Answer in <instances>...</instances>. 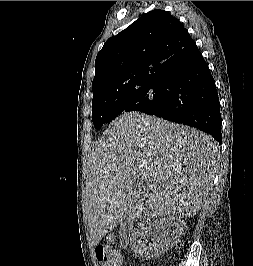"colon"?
<instances>
[{
	"label": "colon",
	"instance_id": "1",
	"mask_svg": "<svg viewBox=\"0 0 253 266\" xmlns=\"http://www.w3.org/2000/svg\"><path fill=\"white\" fill-rule=\"evenodd\" d=\"M95 256L100 266H119L120 253L106 244H100L95 249Z\"/></svg>",
	"mask_w": 253,
	"mask_h": 266
}]
</instances>
